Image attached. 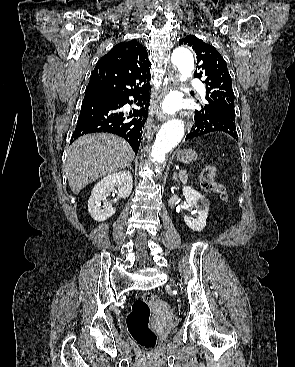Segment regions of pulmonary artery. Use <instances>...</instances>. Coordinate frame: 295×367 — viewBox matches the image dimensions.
I'll return each instance as SVG.
<instances>
[{"label":"pulmonary artery","mask_w":295,"mask_h":367,"mask_svg":"<svg viewBox=\"0 0 295 367\" xmlns=\"http://www.w3.org/2000/svg\"><path fill=\"white\" fill-rule=\"evenodd\" d=\"M191 85H192L194 88H196V89L200 90L202 93H204V92H205V87H204V85H203L199 80H197V79H193V80H191Z\"/></svg>","instance_id":"obj_1"}]
</instances>
